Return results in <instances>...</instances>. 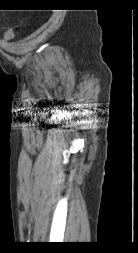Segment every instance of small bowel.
Returning <instances> with one entry per match:
<instances>
[{
	"label": "small bowel",
	"instance_id": "c3829d8e",
	"mask_svg": "<svg viewBox=\"0 0 138 253\" xmlns=\"http://www.w3.org/2000/svg\"><path fill=\"white\" fill-rule=\"evenodd\" d=\"M5 36H6V38H10L11 37V33L8 32V33H6Z\"/></svg>",
	"mask_w": 138,
	"mask_h": 253
}]
</instances>
